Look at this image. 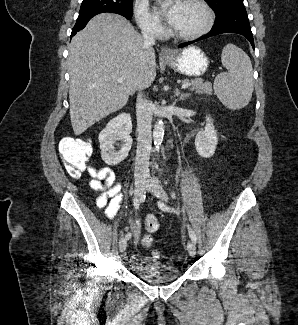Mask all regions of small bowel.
Listing matches in <instances>:
<instances>
[{
	"label": "small bowel",
	"mask_w": 298,
	"mask_h": 325,
	"mask_svg": "<svg viewBox=\"0 0 298 325\" xmlns=\"http://www.w3.org/2000/svg\"><path fill=\"white\" fill-rule=\"evenodd\" d=\"M89 187L101 194L96 198V206L103 209L107 218H114L123 201L121 184L117 182L114 171L109 167L92 168ZM135 229L139 232V223L136 222Z\"/></svg>",
	"instance_id": "c3829d8e"
}]
</instances>
